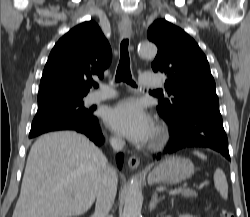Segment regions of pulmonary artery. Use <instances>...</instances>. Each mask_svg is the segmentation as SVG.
<instances>
[{
    "mask_svg": "<svg viewBox=\"0 0 250 217\" xmlns=\"http://www.w3.org/2000/svg\"><path fill=\"white\" fill-rule=\"evenodd\" d=\"M139 83L146 88H158L162 87V82L155 79L152 74L144 73L140 76ZM116 92L108 86L102 85L101 89L88 96L89 103H96L106 101L114 97Z\"/></svg>",
    "mask_w": 250,
    "mask_h": 217,
    "instance_id": "obj_1",
    "label": "pulmonary artery"
}]
</instances>
